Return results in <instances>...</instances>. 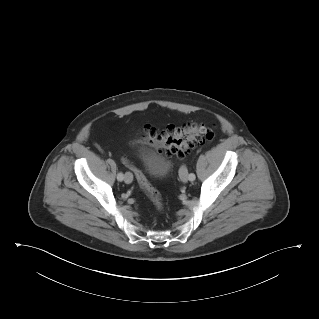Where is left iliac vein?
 Here are the masks:
<instances>
[{
    "label": "left iliac vein",
    "mask_w": 319,
    "mask_h": 319,
    "mask_svg": "<svg viewBox=\"0 0 319 319\" xmlns=\"http://www.w3.org/2000/svg\"><path fill=\"white\" fill-rule=\"evenodd\" d=\"M179 176L183 182H187L189 180L188 172L185 166H182V168L180 169Z\"/></svg>",
    "instance_id": "1"
}]
</instances>
